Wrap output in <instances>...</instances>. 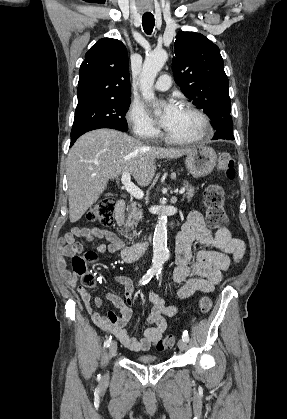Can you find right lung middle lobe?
<instances>
[{
	"instance_id": "obj_1",
	"label": "right lung middle lobe",
	"mask_w": 287,
	"mask_h": 419,
	"mask_svg": "<svg viewBox=\"0 0 287 419\" xmlns=\"http://www.w3.org/2000/svg\"><path fill=\"white\" fill-rule=\"evenodd\" d=\"M129 105L130 98H126L102 101L76 109L71 130V142L76 141L82 134L99 128L127 131L125 114Z\"/></svg>"
}]
</instances>
